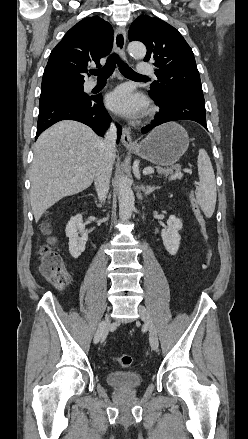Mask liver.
Instances as JSON below:
<instances>
[{
    "label": "liver",
    "mask_w": 248,
    "mask_h": 439,
    "mask_svg": "<svg viewBox=\"0 0 248 439\" xmlns=\"http://www.w3.org/2000/svg\"><path fill=\"white\" fill-rule=\"evenodd\" d=\"M102 143L90 127L70 120L56 123L38 137L30 167V202L36 222L62 198L91 186L102 161Z\"/></svg>",
    "instance_id": "6515ba94"
}]
</instances>
